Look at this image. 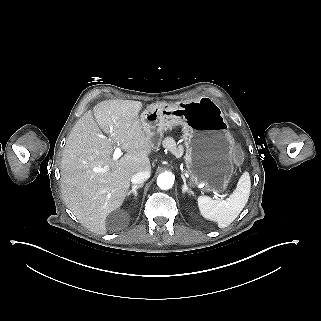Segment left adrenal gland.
Instances as JSON below:
<instances>
[{
    "mask_svg": "<svg viewBox=\"0 0 321 321\" xmlns=\"http://www.w3.org/2000/svg\"><path fill=\"white\" fill-rule=\"evenodd\" d=\"M183 182H184V187L182 190V193L185 195L186 193L189 194L190 196H193L194 194L188 190L187 185H186V180L185 178L182 176Z\"/></svg>",
    "mask_w": 321,
    "mask_h": 321,
    "instance_id": "obj_1",
    "label": "left adrenal gland"
}]
</instances>
